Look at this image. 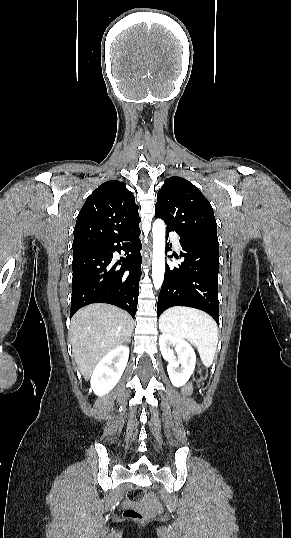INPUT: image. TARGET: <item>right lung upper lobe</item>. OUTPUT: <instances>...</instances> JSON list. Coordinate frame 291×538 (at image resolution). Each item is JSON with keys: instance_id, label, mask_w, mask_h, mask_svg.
Returning a JSON list of instances; mask_svg holds the SVG:
<instances>
[{"instance_id": "1", "label": "right lung upper lobe", "mask_w": 291, "mask_h": 538, "mask_svg": "<svg viewBox=\"0 0 291 538\" xmlns=\"http://www.w3.org/2000/svg\"><path fill=\"white\" fill-rule=\"evenodd\" d=\"M141 219L134 195L124 182L110 180L93 191L74 228V251L107 243L138 227Z\"/></svg>"}]
</instances>
